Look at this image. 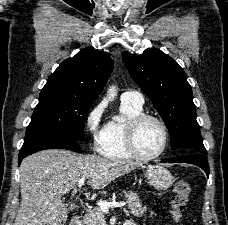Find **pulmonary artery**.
I'll return each instance as SVG.
<instances>
[{
	"label": "pulmonary artery",
	"mask_w": 228,
	"mask_h": 225,
	"mask_svg": "<svg viewBox=\"0 0 228 225\" xmlns=\"http://www.w3.org/2000/svg\"><path fill=\"white\" fill-rule=\"evenodd\" d=\"M120 99L122 103L132 104L139 107L144 104V97L139 91H126L121 94Z\"/></svg>",
	"instance_id": "e3ab8cb5"
}]
</instances>
